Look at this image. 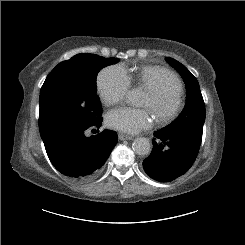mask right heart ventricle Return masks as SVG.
Listing matches in <instances>:
<instances>
[{"mask_svg": "<svg viewBox=\"0 0 245 245\" xmlns=\"http://www.w3.org/2000/svg\"><path fill=\"white\" fill-rule=\"evenodd\" d=\"M125 71L129 77L130 82L135 81L144 89H149L160 84L165 78V72L169 70L156 65H146L138 69L135 74H130L127 70ZM176 84L178 90L181 92L182 84L177 76Z\"/></svg>", "mask_w": 245, "mask_h": 245, "instance_id": "obj_1", "label": "right heart ventricle"}]
</instances>
